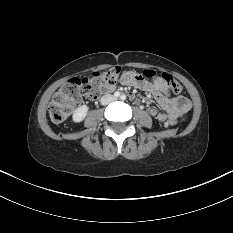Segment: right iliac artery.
I'll return each instance as SVG.
<instances>
[{"instance_id":"1","label":"right iliac artery","mask_w":233,"mask_h":233,"mask_svg":"<svg viewBox=\"0 0 233 233\" xmlns=\"http://www.w3.org/2000/svg\"><path fill=\"white\" fill-rule=\"evenodd\" d=\"M114 96H115V97H119V96H120V93L117 91V92L114 93Z\"/></svg>"}]
</instances>
